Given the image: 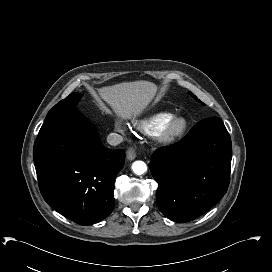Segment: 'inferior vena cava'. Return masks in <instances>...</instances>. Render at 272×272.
<instances>
[{
	"label": "inferior vena cava",
	"mask_w": 272,
	"mask_h": 272,
	"mask_svg": "<svg viewBox=\"0 0 272 272\" xmlns=\"http://www.w3.org/2000/svg\"><path fill=\"white\" fill-rule=\"evenodd\" d=\"M122 141H123V137L117 133H110L107 136V142L111 146H116V145L120 144Z\"/></svg>",
	"instance_id": "obj_1"
}]
</instances>
